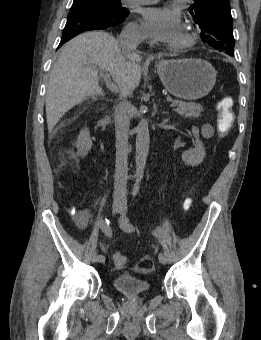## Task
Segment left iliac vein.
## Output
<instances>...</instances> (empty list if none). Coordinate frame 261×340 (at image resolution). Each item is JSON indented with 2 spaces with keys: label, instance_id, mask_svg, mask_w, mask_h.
<instances>
[{
  "label": "left iliac vein",
  "instance_id": "left-iliac-vein-1",
  "mask_svg": "<svg viewBox=\"0 0 261 340\" xmlns=\"http://www.w3.org/2000/svg\"><path fill=\"white\" fill-rule=\"evenodd\" d=\"M121 213H122V217L124 218V216H125V210H122ZM120 226H121L122 229H124V227H123V225H122V221H120ZM124 230H125V229H124ZM158 259H159V262H160L161 264H166V263L168 262L167 259H166V257H165V255H164L163 253H159Z\"/></svg>",
  "mask_w": 261,
  "mask_h": 340
}]
</instances>
